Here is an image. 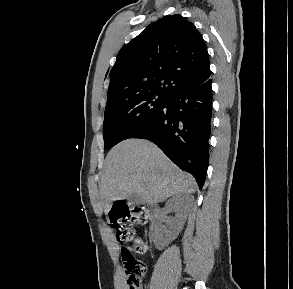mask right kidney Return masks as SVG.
Here are the masks:
<instances>
[{
	"label": "right kidney",
	"mask_w": 293,
	"mask_h": 289,
	"mask_svg": "<svg viewBox=\"0 0 293 289\" xmlns=\"http://www.w3.org/2000/svg\"><path fill=\"white\" fill-rule=\"evenodd\" d=\"M172 210L176 212V215L170 223L169 230L166 231V236L169 237V240L176 238L182 230L186 220V212L184 210L183 201L180 195L173 196L166 202L165 207L160 212V217L162 218L165 214L171 212Z\"/></svg>",
	"instance_id": "ca27d5eb"
}]
</instances>
